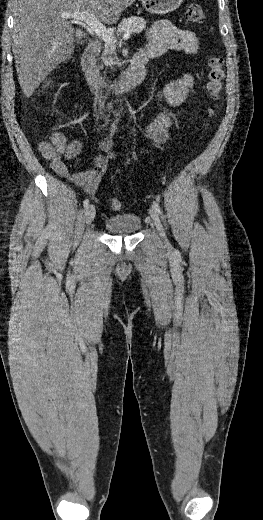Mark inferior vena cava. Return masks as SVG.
<instances>
[{
	"mask_svg": "<svg viewBox=\"0 0 263 520\" xmlns=\"http://www.w3.org/2000/svg\"><path fill=\"white\" fill-rule=\"evenodd\" d=\"M98 105H99V111L102 114V109H104V101L101 98L98 100Z\"/></svg>",
	"mask_w": 263,
	"mask_h": 520,
	"instance_id": "inferior-vena-cava-1",
	"label": "inferior vena cava"
}]
</instances>
